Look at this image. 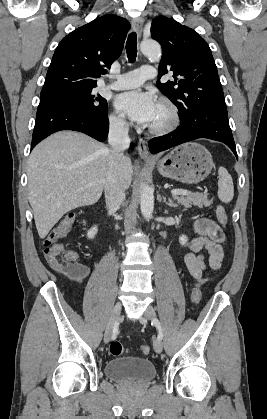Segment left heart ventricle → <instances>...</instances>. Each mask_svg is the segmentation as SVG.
<instances>
[{
  "label": "left heart ventricle",
  "mask_w": 267,
  "mask_h": 419,
  "mask_svg": "<svg viewBox=\"0 0 267 419\" xmlns=\"http://www.w3.org/2000/svg\"><path fill=\"white\" fill-rule=\"evenodd\" d=\"M169 119V113L166 110V108H164L163 106H161L160 104H158L154 118L150 124V126H158L161 125L163 123H166Z\"/></svg>",
  "instance_id": "1"
}]
</instances>
